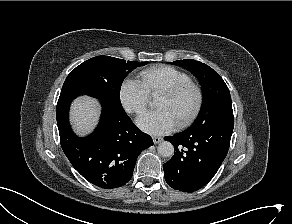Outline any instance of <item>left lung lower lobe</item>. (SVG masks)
<instances>
[{
	"label": "left lung lower lobe",
	"instance_id": "obj_1",
	"mask_svg": "<svg viewBox=\"0 0 292 224\" xmlns=\"http://www.w3.org/2000/svg\"><path fill=\"white\" fill-rule=\"evenodd\" d=\"M233 127L234 121H227L165 137L175 148L173 157L163 165L167 184L182 192L205 186L227 155Z\"/></svg>",
	"mask_w": 292,
	"mask_h": 224
}]
</instances>
